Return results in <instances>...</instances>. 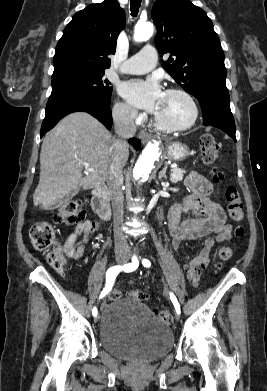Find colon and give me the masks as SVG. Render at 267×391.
Wrapping results in <instances>:
<instances>
[{"mask_svg": "<svg viewBox=\"0 0 267 391\" xmlns=\"http://www.w3.org/2000/svg\"><path fill=\"white\" fill-rule=\"evenodd\" d=\"M201 158L204 163L212 164L219 151V145L214 137L210 134H205L200 138ZM222 175L220 172L214 170L213 180L220 181ZM225 200L229 215L233 221L239 222L244 218L243 204L238 190L234 186H229L225 190ZM83 220V213L81 210V203L77 199H66L62 201L57 207L54 215V221L59 224L73 225ZM235 236L242 237L244 235V227L239 225L235 228ZM30 239L35 249L39 251H48L47 261L56 270H61L64 266V257L59 248L56 246V233L52 225L47 221H39L35 223L30 230ZM233 254V248L230 245H223L219 251L218 256L220 262L217 267L222 266L223 261H227ZM109 297L112 300L121 298L119 290H113ZM130 299L143 302L146 299V294L141 290H132L128 293ZM154 314L165 324L172 323V315L167 310H154Z\"/></svg>", "mask_w": 267, "mask_h": 391, "instance_id": "obj_1", "label": "colon"}]
</instances>
